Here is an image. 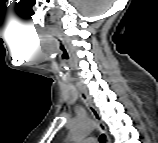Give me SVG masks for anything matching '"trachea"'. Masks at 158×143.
Masks as SVG:
<instances>
[{
  "label": "trachea",
  "mask_w": 158,
  "mask_h": 143,
  "mask_svg": "<svg viewBox=\"0 0 158 143\" xmlns=\"http://www.w3.org/2000/svg\"><path fill=\"white\" fill-rule=\"evenodd\" d=\"M99 141L100 143H105V137L103 134L100 136Z\"/></svg>",
  "instance_id": "trachea-1"
}]
</instances>
